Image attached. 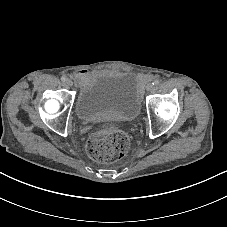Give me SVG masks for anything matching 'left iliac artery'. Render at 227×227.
Instances as JSON below:
<instances>
[{"label": "left iliac artery", "instance_id": "1", "mask_svg": "<svg viewBox=\"0 0 227 227\" xmlns=\"http://www.w3.org/2000/svg\"><path fill=\"white\" fill-rule=\"evenodd\" d=\"M159 83H160L159 79H156V80L153 81L152 84L155 85V86H157V85H159Z\"/></svg>", "mask_w": 227, "mask_h": 227}]
</instances>
